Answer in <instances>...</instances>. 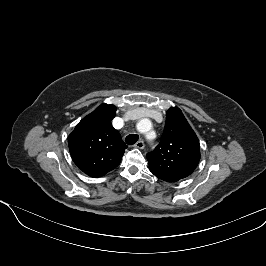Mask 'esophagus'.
<instances>
[{"instance_id": "1", "label": "esophagus", "mask_w": 266, "mask_h": 266, "mask_svg": "<svg viewBox=\"0 0 266 266\" xmlns=\"http://www.w3.org/2000/svg\"><path fill=\"white\" fill-rule=\"evenodd\" d=\"M136 148L138 149H143L145 144L142 140L138 141L135 145H134Z\"/></svg>"}]
</instances>
